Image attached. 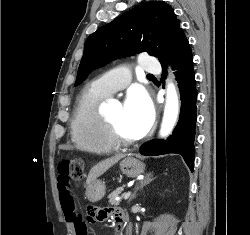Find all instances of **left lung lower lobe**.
Listing matches in <instances>:
<instances>
[{
	"label": "left lung lower lobe",
	"mask_w": 250,
	"mask_h": 235,
	"mask_svg": "<svg viewBox=\"0 0 250 235\" xmlns=\"http://www.w3.org/2000/svg\"><path fill=\"white\" fill-rule=\"evenodd\" d=\"M166 61L172 64L173 70H176L175 76L182 101L179 121L172 135L166 140L147 142L140 147V152L146 156L168 153L180 154L190 170L193 171L197 90L192 51L182 29L179 31L167 57L160 61L163 69L162 78Z\"/></svg>",
	"instance_id": "0a47b994"
}]
</instances>
